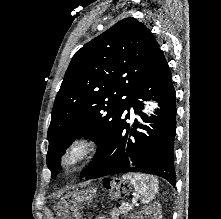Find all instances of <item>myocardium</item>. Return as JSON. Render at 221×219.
<instances>
[{
  "instance_id": "myocardium-1",
  "label": "myocardium",
  "mask_w": 221,
  "mask_h": 219,
  "mask_svg": "<svg viewBox=\"0 0 221 219\" xmlns=\"http://www.w3.org/2000/svg\"><path fill=\"white\" fill-rule=\"evenodd\" d=\"M96 143L89 136L71 141L60 156V166L66 172H72L86 164L94 155Z\"/></svg>"
}]
</instances>
